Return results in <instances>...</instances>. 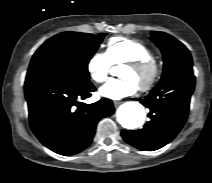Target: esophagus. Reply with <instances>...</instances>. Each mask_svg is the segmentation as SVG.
Masks as SVG:
<instances>
[{
  "label": "esophagus",
  "instance_id": "obj_1",
  "mask_svg": "<svg viewBox=\"0 0 212 183\" xmlns=\"http://www.w3.org/2000/svg\"><path fill=\"white\" fill-rule=\"evenodd\" d=\"M113 104H114L115 107H117L121 104V102L120 101H114Z\"/></svg>",
  "mask_w": 212,
  "mask_h": 183
}]
</instances>
